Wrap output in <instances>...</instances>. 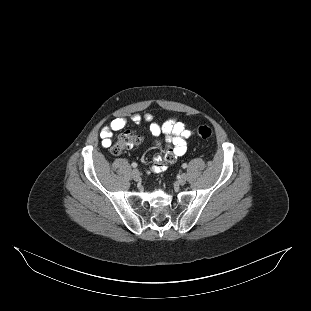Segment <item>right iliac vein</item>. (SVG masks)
I'll list each match as a JSON object with an SVG mask.
<instances>
[{
	"label": "right iliac vein",
	"mask_w": 311,
	"mask_h": 311,
	"mask_svg": "<svg viewBox=\"0 0 311 311\" xmlns=\"http://www.w3.org/2000/svg\"><path fill=\"white\" fill-rule=\"evenodd\" d=\"M132 175V178L135 180V181H139L140 180V173L137 169H134L131 173Z\"/></svg>",
	"instance_id": "1"
}]
</instances>
